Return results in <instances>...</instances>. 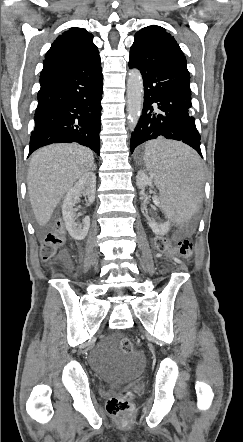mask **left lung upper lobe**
I'll return each mask as SVG.
<instances>
[{
  "label": "left lung upper lobe",
  "instance_id": "1",
  "mask_svg": "<svg viewBox=\"0 0 243 442\" xmlns=\"http://www.w3.org/2000/svg\"><path fill=\"white\" fill-rule=\"evenodd\" d=\"M135 39H144L151 43L165 46L183 53L175 39L163 27L147 26L135 34Z\"/></svg>",
  "mask_w": 243,
  "mask_h": 442
}]
</instances>
